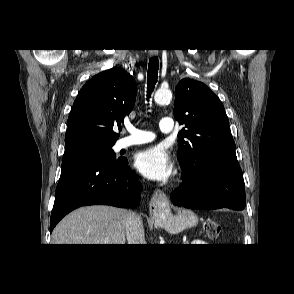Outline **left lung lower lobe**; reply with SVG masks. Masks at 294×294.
Listing matches in <instances>:
<instances>
[{"label":"left lung lower lobe","mask_w":294,"mask_h":294,"mask_svg":"<svg viewBox=\"0 0 294 294\" xmlns=\"http://www.w3.org/2000/svg\"><path fill=\"white\" fill-rule=\"evenodd\" d=\"M171 195L173 203L191 209L245 208V186L239 166L213 165L186 175Z\"/></svg>","instance_id":"obj_1"}]
</instances>
